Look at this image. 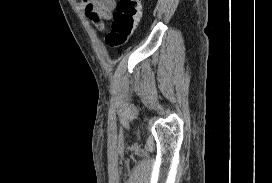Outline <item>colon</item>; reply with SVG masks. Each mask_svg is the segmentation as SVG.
<instances>
[{"instance_id": "1", "label": "colon", "mask_w": 272, "mask_h": 183, "mask_svg": "<svg viewBox=\"0 0 272 183\" xmlns=\"http://www.w3.org/2000/svg\"><path fill=\"white\" fill-rule=\"evenodd\" d=\"M142 16L143 3L140 0H119L107 44L110 47L124 45L138 27Z\"/></svg>"}]
</instances>
